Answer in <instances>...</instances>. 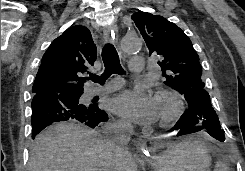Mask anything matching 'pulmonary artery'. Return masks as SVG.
<instances>
[{
	"instance_id": "obj_1",
	"label": "pulmonary artery",
	"mask_w": 245,
	"mask_h": 171,
	"mask_svg": "<svg viewBox=\"0 0 245 171\" xmlns=\"http://www.w3.org/2000/svg\"><path fill=\"white\" fill-rule=\"evenodd\" d=\"M130 69L132 72H142L144 69V58L140 56H135L132 58L130 62ZM122 85V81L119 79L114 80L113 82L109 83L108 85L102 88H92L88 91L89 96H94L96 94H104L109 93L112 91L117 90Z\"/></svg>"
}]
</instances>
